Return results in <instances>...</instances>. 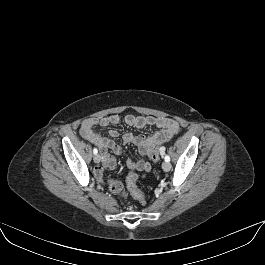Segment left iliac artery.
I'll return each instance as SVG.
<instances>
[{
  "label": "left iliac artery",
  "mask_w": 265,
  "mask_h": 265,
  "mask_svg": "<svg viewBox=\"0 0 265 265\" xmlns=\"http://www.w3.org/2000/svg\"><path fill=\"white\" fill-rule=\"evenodd\" d=\"M164 159H165L166 162L170 161V157L168 155H166Z\"/></svg>",
  "instance_id": "1"
}]
</instances>
